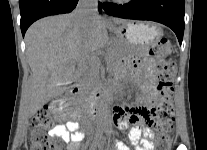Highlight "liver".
I'll return each mask as SVG.
<instances>
[{
	"label": "liver",
	"instance_id": "liver-1",
	"mask_svg": "<svg viewBox=\"0 0 207 150\" xmlns=\"http://www.w3.org/2000/svg\"><path fill=\"white\" fill-rule=\"evenodd\" d=\"M115 24L127 22L114 18ZM108 33L97 15L88 26L81 25L74 12L43 18L27 30L26 55L31 77L22 93L21 107L26 119L50 100L60 96L76 79L75 68L84 54L89 64L95 53L108 43Z\"/></svg>",
	"mask_w": 207,
	"mask_h": 150
}]
</instances>
